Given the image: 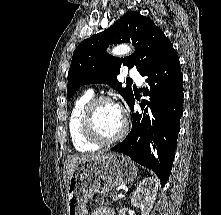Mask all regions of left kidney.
<instances>
[{
    "mask_svg": "<svg viewBox=\"0 0 221 215\" xmlns=\"http://www.w3.org/2000/svg\"><path fill=\"white\" fill-rule=\"evenodd\" d=\"M158 180L154 177L143 179L131 198V204L141 210L142 215H149L156 200Z\"/></svg>",
    "mask_w": 221,
    "mask_h": 215,
    "instance_id": "1",
    "label": "left kidney"
}]
</instances>
